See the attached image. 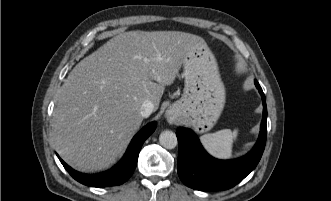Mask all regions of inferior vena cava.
Masks as SVG:
<instances>
[{
  "mask_svg": "<svg viewBox=\"0 0 331 201\" xmlns=\"http://www.w3.org/2000/svg\"><path fill=\"white\" fill-rule=\"evenodd\" d=\"M154 110V105L150 100H145L140 109V114L142 117L147 118L151 115Z\"/></svg>",
  "mask_w": 331,
  "mask_h": 201,
  "instance_id": "inferior-vena-cava-1",
  "label": "inferior vena cava"
}]
</instances>
